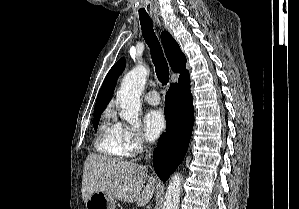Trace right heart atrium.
<instances>
[{"label":"right heart atrium","mask_w":299,"mask_h":209,"mask_svg":"<svg viewBox=\"0 0 299 209\" xmlns=\"http://www.w3.org/2000/svg\"><path fill=\"white\" fill-rule=\"evenodd\" d=\"M120 142L125 150L126 155L136 156L145 149V142L142 134L128 125L117 122Z\"/></svg>","instance_id":"1"}]
</instances>
